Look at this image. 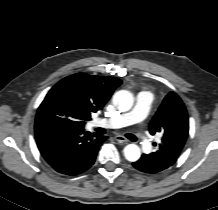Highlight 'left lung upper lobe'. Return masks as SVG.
I'll list each match as a JSON object with an SVG mask.
<instances>
[{"label": "left lung upper lobe", "instance_id": "obj_1", "mask_svg": "<svg viewBox=\"0 0 218 210\" xmlns=\"http://www.w3.org/2000/svg\"><path fill=\"white\" fill-rule=\"evenodd\" d=\"M149 130L152 135L155 133L162 135L156 153L177 160L189 133V122L186 108L176 93L170 92L165 97L150 122Z\"/></svg>", "mask_w": 218, "mask_h": 210}]
</instances>
